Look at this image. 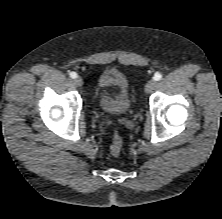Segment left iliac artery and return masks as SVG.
<instances>
[{
	"label": "left iliac artery",
	"mask_w": 222,
	"mask_h": 219,
	"mask_svg": "<svg viewBox=\"0 0 222 219\" xmlns=\"http://www.w3.org/2000/svg\"><path fill=\"white\" fill-rule=\"evenodd\" d=\"M162 78V75L160 73H156L153 77L154 80L158 81Z\"/></svg>",
	"instance_id": "left-iliac-artery-1"
}]
</instances>
